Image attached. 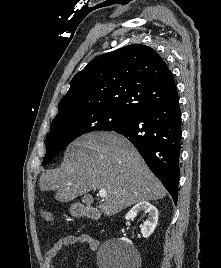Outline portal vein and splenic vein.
<instances>
[{
  "instance_id": "1",
  "label": "portal vein and splenic vein",
  "mask_w": 221,
  "mask_h": 268,
  "mask_svg": "<svg viewBox=\"0 0 221 268\" xmlns=\"http://www.w3.org/2000/svg\"><path fill=\"white\" fill-rule=\"evenodd\" d=\"M99 195L101 198H105L107 196V193L104 189H100L99 190Z\"/></svg>"
}]
</instances>
